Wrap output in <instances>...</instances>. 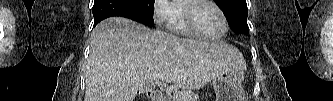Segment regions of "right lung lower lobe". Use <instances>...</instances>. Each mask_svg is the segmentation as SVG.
Masks as SVG:
<instances>
[{
  "mask_svg": "<svg viewBox=\"0 0 333 101\" xmlns=\"http://www.w3.org/2000/svg\"><path fill=\"white\" fill-rule=\"evenodd\" d=\"M93 16L95 27L100 21L112 16H121L145 23L138 8L130 0H94Z\"/></svg>",
  "mask_w": 333,
  "mask_h": 101,
  "instance_id": "obj_1",
  "label": "right lung lower lobe"
}]
</instances>
